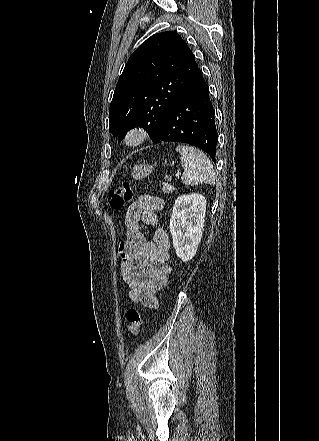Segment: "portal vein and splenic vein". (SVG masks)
<instances>
[{
    "label": "portal vein and splenic vein",
    "instance_id": "18ae733b",
    "mask_svg": "<svg viewBox=\"0 0 319 441\" xmlns=\"http://www.w3.org/2000/svg\"><path fill=\"white\" fill-rule=\"evenodd\" d=\"M181 175V173H177V176H180Z\"/></svg>",
    "mask_w": 319,
    "mask_h": 441
}]
</instances>
